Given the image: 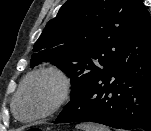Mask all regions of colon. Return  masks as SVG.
<instances>
[{
	"instance_id": "obj_1",
	"label": "colon",
	"mask_w": 151,
	"mask_h": 131,
	"mask_svg": "<svg viewBox=\"0 0 151 131\" xmlns=\"http://www.w3.org/2000/svg\"><path fill=\"white\" fill-rule=\"evenodd\" d=\"M24 131H42V130L38 127L31 126V127L24 129Z\"/></svg>"
}]
</instances>
